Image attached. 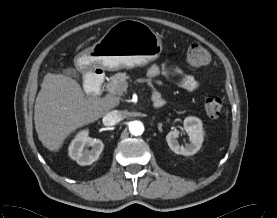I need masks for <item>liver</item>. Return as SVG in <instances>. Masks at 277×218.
Listing matches in <instances>:
<instances>
[{
	"instance_id": "6515ba94",
	"label": "liver",
	"mask_w": 277,
	"mask_h": 218,
	"mask_svg": "<svg viewBox=\"0 0 277 218\" xmlns=\"http://www.w3.org/2000/svg\"><path fill=\"white\" fill-rule=\"evenodd\" d=\"M118 104V97L86 98L76 80L48 73L34 106L38 138L44 147L56 152L69 134L95 122Z\"/></svg>"
}]
</instances>
